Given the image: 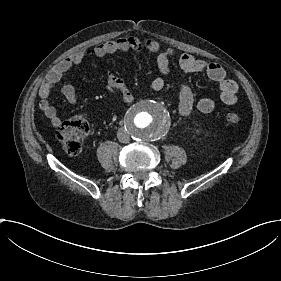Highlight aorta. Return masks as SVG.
<instances>
[{
	"label": "aorta",
	"mask_w": 281,
	"mask_h": 281,
	"mask_svg": "<svg viewBox=\"0 0 281 281\" xmlns=\"http://www.w3.org/2000/svg\"><path fill=\"white\" fill-rule=\"evenodd\" d=\"M167 109L154 100H143L133 105L126 115V127L138 141H154L164 136L170 128Z\"/></svg>",
	"instance_id": "1"
}]
</instances>
